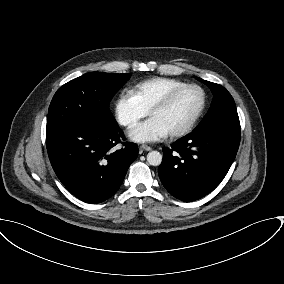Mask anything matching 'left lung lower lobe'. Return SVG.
Instances as JSON below:
<instances>
[{
  "instance_id": "0a47b994",
  "label": "left lung lower lobe",
  "mask_w": 284,
  "mask_h": 284,
  "mask_svg": "<svg viewBox=\"0 0 284 284\" xmlns=\"http://www.w3.org/2000/svg\"><path fill=\"white\" fill-rule=\"evenodd\" d=\"M240 143L239 122H219L196 128L163 149L158 174L166 190L192 202L213 191L227 174Z\"/></svg>"
}]
</instances>
